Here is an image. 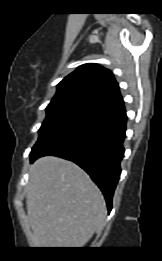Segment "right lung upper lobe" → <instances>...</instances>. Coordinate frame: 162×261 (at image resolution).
Here are the masks:
<instances>
[{
	"label": "right lung upper lobe",
	"instance_id": "cb5924a9",
	"mask_svg": "<svg viewBox=\"0 0 162 261\" xmlns=\"http://www.w3.org/2000/svg\"><path fill=\"white\" fill-rule=\"evenodd\" d=\"M82 93L94 98L102 105L121 99L119 85L112 72L98 64L79 66L57 86V94Z\"/></svg>",
	"mask_w": 162,
	"mask_h": 261
}]
</instances>
